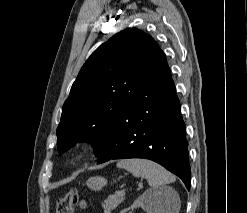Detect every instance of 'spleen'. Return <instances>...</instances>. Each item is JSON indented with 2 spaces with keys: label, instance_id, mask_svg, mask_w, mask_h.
Here are the masks:
<instances>
[{
  "label": "spleen",
  "instance_id": "obj_1",
  "mask_svg": "<svg viewBox=\"0 0 247 213\" xmlns=\"http://www.w3.org/2000/svg\"><path fill=\"white\" fill-rule=\"evenodd\" d=\"M117 167L127 170L135 177L145 178L154 191L159 187H165L166 184L175 181V177L170 172L150 160L136 158L120 160L117 163ZM170 204L174 208L172 213H178L179 203L176 195L172 197L171 201L167 202V206Z\"/></svg>",
  "mask_w": 247,
  "mask_h": 213
}]
</instances>
